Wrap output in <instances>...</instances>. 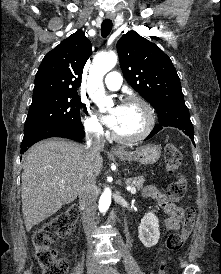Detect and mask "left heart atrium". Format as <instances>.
Returning <instances> with one entry per match:
<instances>
[{"mask_svg": "<svg viewBox=\"0 0 221 274\" xmlns=\"http://www.w3.org/2000/svg\"><path fill=\"white\" fill-rule=\"evenodd\" d=\"M104 121L109 127H111L113 129L115 127L116 123H117V111H116V109H114L108 115H106L104 117Z\"/></svg>", "mask_w": 221, "mask_h": 274, "instance_id": "obj_1", "label": "left heart atrium"}]
</instances>
